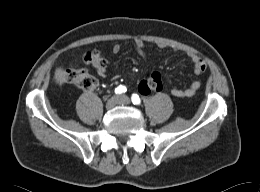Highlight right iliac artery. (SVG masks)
Returning <instances> with one entry per match:
<instances>
[{
  "label": "right iliac artery",
  "mask_w": 260,
  "mask_h": 192,
  "mask_svg": "<svg viewBox=\"0 0 260 192\" xmlns=\"http://www.w3.org/2000/svg\"><path fill=\"white\" fill-rule=\"evenodd\" d=\"M127 91L126 86L124 85H119L116 89H115V93L116 94H123Z\"/></svg>",
  "instance_id": "82829eb1"
}]
</instances>
